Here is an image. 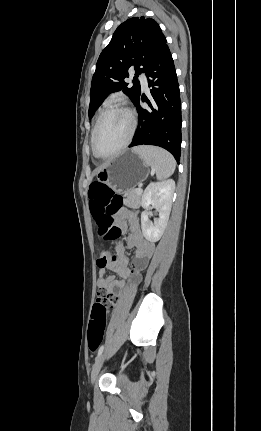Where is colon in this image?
<instances>
[{
    "mask_svg": "<svg viewBox=\"0 0 261 431\" xmlns=\"http://www.w3.org/2000/svg\"><path fill=\"white\" fill-rule=\"evenodd\" d=\"M90 212L96 222L98 235L106 241L116 242L121 236V229L115 222L114 215L119 210L122 198L106 184L95 181L88 189ZM117 255L101 250L97 259L98 265H104L109 260H116ZM115 302V298L107 291L101 289L91 313L88 329V345L95 351L103 340L107 309Z\"/></svg>",
    "mask_w": 261,
    "mask_h": 431,
    "instance_id": "5ec220e1",
    "label": "colon"
}]
</instances>
